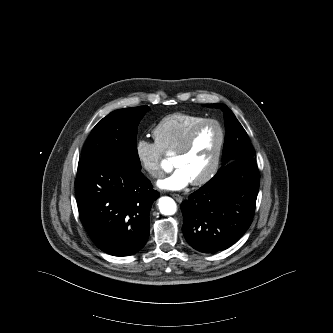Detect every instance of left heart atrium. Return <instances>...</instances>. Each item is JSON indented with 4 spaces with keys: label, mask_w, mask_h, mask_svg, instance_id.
I'll list each match as a JSON object with an SVG mask.
<instances>
[{
    "label": "left heart atrium",
    "mask_w": 333,
    "mask_h": 333,
    "mask_svg": "<svg viewBox=\"0 0 333 333\" xmlns=\"http://www.w3.org/2000/svg\"><path fill=\"white\" fill-rule=\"evenodd\" d=\"M191 183L188 174L180 167L176 169L167 177L158 181L157 185L163 190H181Z\"/></svg>",
    "instance_id": "obj_1"
}]
</instances>
